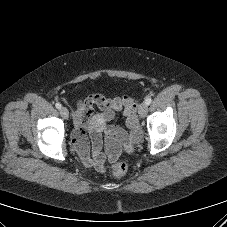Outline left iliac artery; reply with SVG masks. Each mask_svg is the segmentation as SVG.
Segmentation results:
<instances>
[{
    "label": "left iliac artery",
    "instance_id": "left-iliac-artery-1",
    "mask_svg": "<svg viewBox=\"0 0 227 227\" xmlns=\"http://www.w3.org/2000/svg\"><path fill=\"white\" fill-rule=\"evenodd\" d=\"M151 102H152L151 97H147V98L145 99V103L147 104V106L150 105Z\"/></svg>",
    "mask_w": 227,
    "mask_h": 227
}]
</instances>
